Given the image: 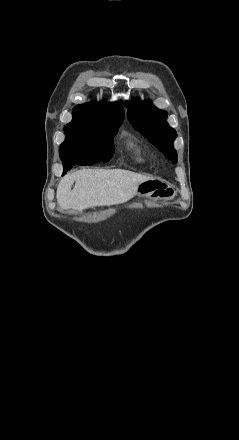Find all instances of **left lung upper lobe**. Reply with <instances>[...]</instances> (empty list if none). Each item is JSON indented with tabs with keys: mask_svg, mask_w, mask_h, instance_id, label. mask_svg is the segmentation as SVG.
<instances>
[{
	"mask_svg": "<svg viewBox=\"0 0 239 440\" xmlns=\"http://www.w3.org/2000/svg\"><path fill=\"white\" fill-rule=\"evenodd\" d=\"M125 106L132 126L156 145L172 163H176L177 153L173 143L177 133L167 123V113L156 108L150 101L142 102L139 98L125 102Z\"/></svg>",
	"mask_w": 239,
	"mask_h": 440,
	"instance_id": "1",
	"label": "left lung upper lobe"
}]
</instances>
